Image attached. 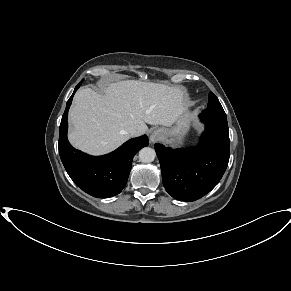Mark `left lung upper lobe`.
<instances>
[{
  "mask_svg": "<svg viewBox=\"0 0 291 291\" xmlns=\"http://www.w3.org/2000/svg\"><path fill=\"white\" fill-rule=\"evenodd\" d=\"M208 108L207 109H223L218 98L214 93L210 92L208 96Z\"/></svg>",
  "mask_w": 291,
  "mask_h": 291,
  "instance_id": "1",
  "label": "left lung upper lobe"
}]
</instances>
